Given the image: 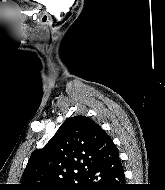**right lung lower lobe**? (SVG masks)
Segmentation results:
<instances>
[{"mask_svg":"<svg viewBox=\"0 0 165 190\" xmlns=\"http://www.w3.org/2000/svg\"><path fill=\"white\" fill-rule=\"evenodd\" d=\"M118 153L86 171L78 190H126Z\"/></svg>","mask_w":165,"mask_h":190,"instance_id":"obj_1","label":"right lung lower lobe"}]
</instances>
